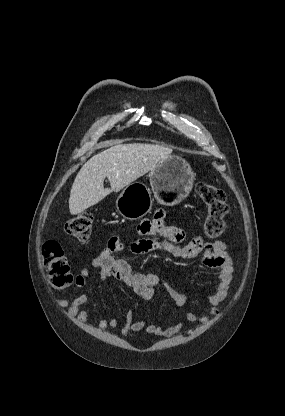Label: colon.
I'll list each match as a JSON object with an SVG mask.
<instances>
[{"label": "colon", "instance_id": "obj_1", "mask_svg": "<svg viewBox=\"0 0 285 416\" xmlns=\"http://www.w3.org/2000/svg\"><path fill=\"white\" fill-rule=\"evenodd\" d=\"M196 191L207 210L204 233L209 239H218L226 229L225 216L228 206L225 194L218 187L208 183H199ZM92 226L93 216L83 213L70 219L65 225V230L79 242L85 243L92 237ZM42 256L48 268L51 285L57 290L69 287L73 282V275L61 245L56 241H45L42 245Z\"/></svg>", "mask_w": 285, "mask_h": 416}]
</instances>
